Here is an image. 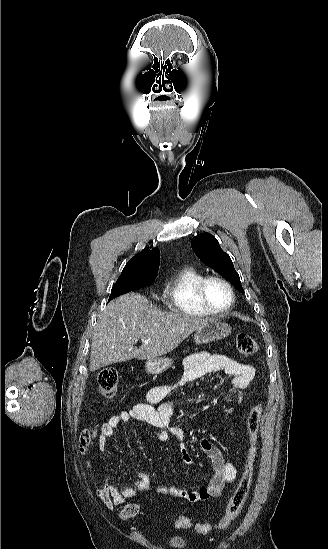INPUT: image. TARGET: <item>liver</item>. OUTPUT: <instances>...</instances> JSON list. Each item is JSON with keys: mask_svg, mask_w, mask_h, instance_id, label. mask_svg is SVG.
<instances>
[{"mask_svg": "<svg viewBox=\"0 0 328 549\" xmlns=\"http://www.w3.org/2000/svg\"><path fill=\"white\" fill-rule=\"evenodd\" d=\"M90 353V371L130 359H156L174 351L210 319L185 313H164L139 293L111 301L97 315ZM141 339V347H134ZM150 341V343H145Z\"/></svg>", "mask_w": 328, "mask_h": 549, "instance_id": "6515ba94", "label": "liver"}]
</instances>
